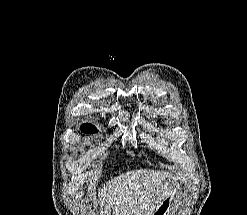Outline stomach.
I'll return each instance as SVG.
<instances>
[{
    "instance_id": "0dacf381",
    "label": "stomach",
    "mask_w": 247,
    "mask_h": 215,
    "mask_svg": "<svg viewBox=\"0 0 247 215\" xmlns=\"http://www.w3.org/2000/svg\"><path fill=\"white\" fill-rule=\"evenodd\" d=\"M182 188V182H176L165 195L163 200L157 204L151 215H173V201L175 200V197L182 191Z\"/></svg>"
}]
</instances>
